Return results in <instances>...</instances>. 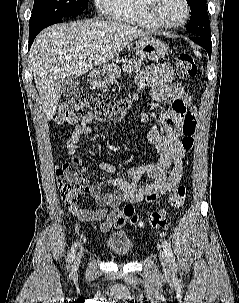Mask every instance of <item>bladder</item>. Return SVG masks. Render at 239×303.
<instances>
[{"label":"bladder","mask_w":239,"mask_h":303,"mask_svg":"<svg viewBox=\"0 0 239 303\" xmlns=\"http://www.w3.org/2000/svg\"><path fill=\"white\" fill-rule=\"evenodd\" d=\"M105 246L113 256L125 259L131 256L134 243L128 234L122 233L109 238Z\"/></svg>","instance_id":"1"}]
</instances>
